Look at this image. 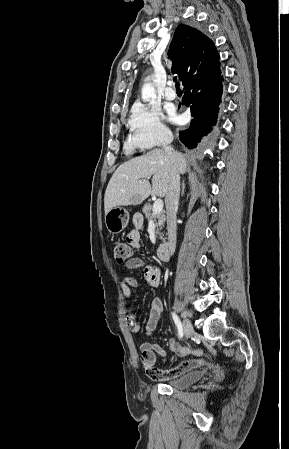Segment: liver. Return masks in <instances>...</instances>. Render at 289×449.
Masks as SVG:
<instances>
[{
    "mask_svg": "<svg viewBox=\"0 0 289 449\" xmlns=\"http://www.w3.org/2000/svg\"><path fill=\"white\" fill-rule=\"evenodd\" d=\"M172 166L178 174H184L187 169L185 156L177 151L169 155L164 149H154L120 165L105 191V214L117 206L139 205L149 195L166 197ZM151 176L152 186L148 181Z\"/></svg>",
    "mask_w": 289,
    "mask_h": 449,
    "instance_id": "obj_1",
    "label": "liver"
}]
</instances>
